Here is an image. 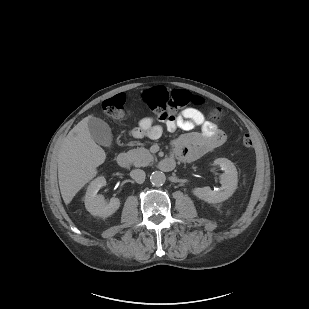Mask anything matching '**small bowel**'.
<instances>
[{
    "label": "small bowel",
    "instance_id": "small-bowel-1",
    "mask_svg": "<svg viewBox=\"0 0 309 309\" xmlns=\"http://www.w3.org/2000/svg\"><path fill=\"white\" fill-rule=\"evenodd\" d=\"M168 131L182 129L184 134L174 140L171 159L181 161H193L220 146L225 141V136L218 126L204 118L197 109L188 108L180 112L176 117L170 116L163 121ZM199 128V132L194 131ZM163 128L152 118L141 119L139 126L133 130L136 137H148L157 139L161 136Z\"/></svg>",
    "mask_w": 309,
    "mask_h": 309
}]
</instances>
